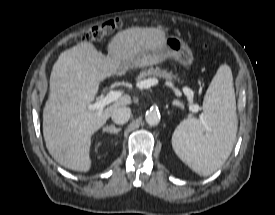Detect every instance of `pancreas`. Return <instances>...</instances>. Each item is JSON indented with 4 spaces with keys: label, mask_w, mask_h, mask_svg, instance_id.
Masks as SVG:
<instances>
[{
    "label": "pancreas",
    "mask_w": 275,
    "mask_h": 215,
    "mask_svg": "<svg viewBox=\"0 0 275 215\" xmlns=\"http://www.w3.org/2000/svg\"><path fill=\"white\" fill-rule=\"evenodd\" d=\"M151 77L162 78L167 81L179 80L177 75H174L172 72H168L166 69L150 68L149 70L142 71L138 75L137 81H138V83H140V82L146 80V78H151Z\"/></svg>",
    "instance_id": "1"
}]
</instances>
